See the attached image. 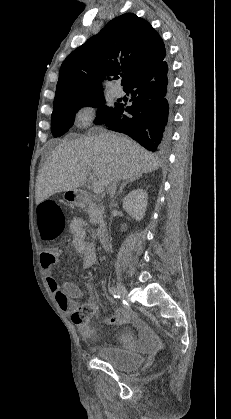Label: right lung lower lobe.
Masks as SVG:
<instances>
[{
    "label": "right lung lower lobe",
    "mask_w": 231,
    "mask_h": 419,
    "mask_svg": "<svg viewBox=\"0 0 231 419\" xmlns=\"http://www.w3.org/2000/svg\"><path fill=\"white\" fill-rule=\"evenodd\" d=\"M124 91L131 94L133 104H117L100 124L129 135L148 150L163 151L170 139L173 105L167 62L136 77Z\"/></svg>",
    "instance_id": "1"
}]
</instances>
